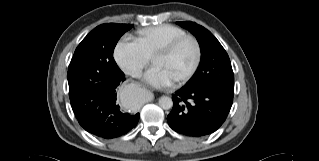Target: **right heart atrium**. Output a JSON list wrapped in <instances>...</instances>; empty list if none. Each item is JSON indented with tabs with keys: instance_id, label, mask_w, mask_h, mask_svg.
Segmentation results:
<instances>
[{
	"instance_id": "right-heart-atrium-1",
	"label": "right heart atrium",
	"mask_w": 319,
	"mask_h": 161,
	"mask_svg": "<svg viewBox=\"0 0 319 161\" xmlns=\"http://www.w3.org/2000/svg\"><path fill=\"white\" fill-rule=\"evenodd\" d=\"M113 54L119 67L132 76H139L149 63L137 43L129 38L120 40L115 45Z\"/></svg>"
}]
</instances>
